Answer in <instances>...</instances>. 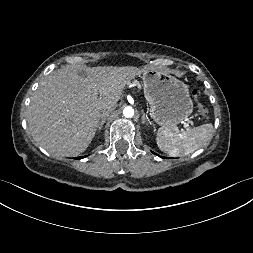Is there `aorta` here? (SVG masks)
Wrapping results in <instances>:
<instances>
[{
  "mask_svg": "<svg viewBox=\"0 0 253 253\" xmlns=\"http://www.w3.org/2000/svg\"><path fill=\"white\" fill-rule=\"evenodd\" d=\"M123 115L125 117H132L134 115V109L132 107H125L123 110Z\"/></svg>",
  "mask_w": 253,
  "mask_h": 253,
  "instance_id": "1",
  "label": "aorta"
}]
</instances>
